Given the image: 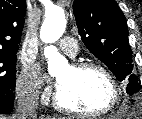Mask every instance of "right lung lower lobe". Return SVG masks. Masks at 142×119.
<instances>
[{"instance_id":"98d812e1","label":"right lung lower lobe","mask_w":142,"mask_h":119,"mask_svg":"<svg viewBox=\"0 0 142 119\" xmlns=\"http://www.w3.org/2000/svg\"><path fill=\"white\" fill-rule=\"evenodd\" d=\"M15 95L0 93V113L8 114L13 110Z\"/></svg>"}]
</instances>
